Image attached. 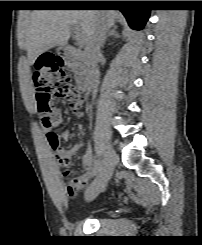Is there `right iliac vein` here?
Masks as SVG:
<instances>
[{"mask_svg": "<svg viewBox=\"0 0 202 245\" xmlns=\"http://www.w3.org/2000/svg\"><path fill=\"white\" fill-rule=\"evenodd\" d=\"M116 160L117 157L113 149L109 145H107L104 163L100 169L98 176L86 190V199H93L103 191L107 182L112 176Z\"/></svg>", "mask_w": 202, "mask_h": 245, "instance_id": "63e3f726", "label": "right iliac vein"}]
</instances>
